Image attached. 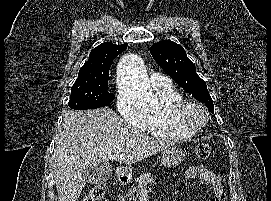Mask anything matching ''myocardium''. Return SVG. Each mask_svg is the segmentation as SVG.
I'll use <instances>...</instances> for the list:
<instances>
[{"label":"myocardium","instance_id":"myocardium-1","mask_svg":"<svg viewBox=\"0 0 271 201\" xmlns=\"http://www.w3.org/2000/svg\"><path fill=\"white\" fill-rule=\"evenodd\" d=\"M172 117L180 124L200 130L205 127L210 115L208 110L199 103L183 100L175 103L169 108Z\"/></svg>","mask_w":271,"mask_h":201}]
</instances>
